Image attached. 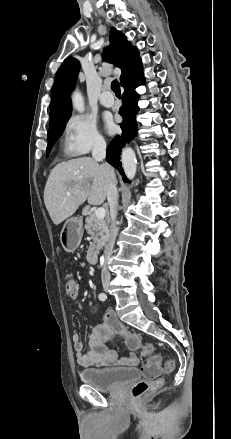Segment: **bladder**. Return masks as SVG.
Wrapping results in <instances>:
<instances>
[{
  "label": "bladder",
  "mask_w": 231,
  "mask_h": 439,
  "mask_svg": "<svg viewBox=\"0 0 231 439\" xmlns=\"http://www.w3.org/2000/svg\"><path fill=\"white\" fill-rule=\"evenodd\" d=\"M140 373L136 368L85 369L79 373L81 381L99 391H111L134 381Z\"/></svg>",
  "instance_id": "bladder-1"
}]
</instances>
